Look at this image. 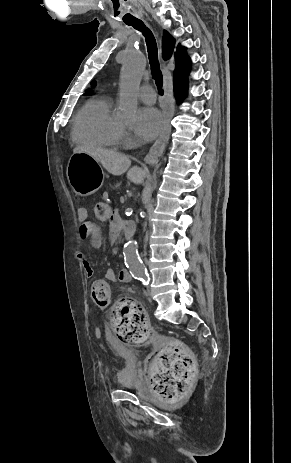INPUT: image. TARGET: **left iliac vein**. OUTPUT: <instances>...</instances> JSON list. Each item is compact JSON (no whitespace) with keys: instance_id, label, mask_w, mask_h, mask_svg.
Instances as JSON below:
<instances>
[{"instance_id":"4c4485c4","label":"left iliac vein","mask_w":291,"mask_h":463,"mask_svg":"<svg viewBox=\"0 0 291 463\" xmlns=\"http://www.w3.org/2000/svg\"><path fill=\"white\" fill-rule=\"evenodd\" d=\"M147 296L150 295V290L148 289L147 292H146Z\"/></svg>"}]
</instances>
